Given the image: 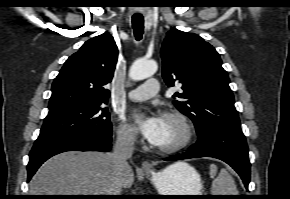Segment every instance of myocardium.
Segmentation results:
<instances>
[{
	"label": "myocardium",
	"instance_id": "f54148a6",
	"mask_svg": "<svg viewBox=\"0 0 290 199\" xmlns=\"http://www.w3.org/2000/svg\"><path fill=\"white\" fill-rule=\"evenodd\" d=\"M162 116L176 120L183 128L184 136L181 141L170 147L155 146V149L163 154H174L186 149L192 142L195 136V129L191 120L179 110H166Z\"/></svg>",
	"mask_w": 290,
	"mask_h": 199
}]
</instances>
